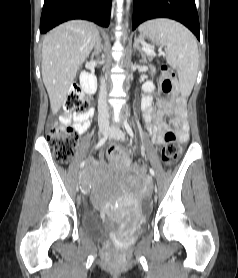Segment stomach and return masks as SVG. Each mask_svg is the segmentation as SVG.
Wrapping results in <instances>:
<instances>
[{"label":"stomach","instance_id":"stomach-1","mask_svg":"<svg viewBox=\"0 0 238 278\" xmlns=\"http://www.w3.org/2000/svg\"><path fill=\"white\" fill-rule=\"evenodd\" d=\"M139 31H140L141 38H150V39L153 38V35L147 28H140Z\"/></svg>","mask_w":238,"mask_h":278}]
</instances>
